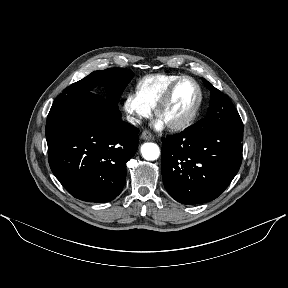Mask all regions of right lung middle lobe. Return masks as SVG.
I'll use <instances>...</instances> for the list:
<instances>
[{
	"instance_id": "1",
	"label": "right lung middle lobe",
	"mask_w": 288,
	"mask_h": 288,
	"mask_svg": "<svg viewBox=\"0 0 288 288\" xmlns=\"http://www.w3.org/2000/svg\"><path fill=\"white\" fill-rule=\"evenodd\" d=\"M132 71L123 68H110L94 71L82 80L68 86L54 101L51 110L71 98L80 97L90 92L93 86L98 85L106 90V103L117 113L118 102L127 84L133 78Z\"/></svg>"
}]
</instances>
